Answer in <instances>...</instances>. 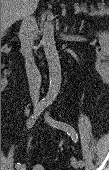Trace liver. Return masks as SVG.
Masks as SVG:
<instances>
[{
  "label": "liver",
  "mask_w": 109,
  "mask_h": 170,
  "mask_svg": "<svg viewBox=\"0 0 109 170\" xmlns=\"http://www.w3.org/2000/svg\"><path fill=\"white\" fill-rule=\"evenodd\" d=\"M39 0H1V29L5 31L23 17L25 11H35Z\"/></svg>",
  "instance_id": "6515ba94"
}]
</instances>
